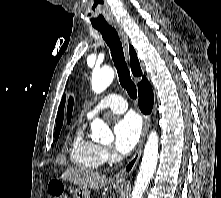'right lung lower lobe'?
<instances>
[{
  "label": "right lung lower lobe",
  "mask_w": 221,
  "mask_h": 198,
  "mask_svg": "<svg viewBox=\"0 0 221 198\" xmlns=\"http://www.w3.org/2000/svg\"><path fill=\"white\" fill-rule=\"evenodd\" d=\"M139 100L138 104L144 114H149L153 107V92L147 79L138 84Z\"/></svg>",
  "instance_id": "obj_1"
}]
</instances>
